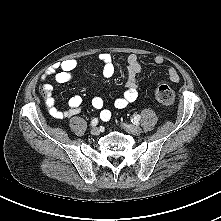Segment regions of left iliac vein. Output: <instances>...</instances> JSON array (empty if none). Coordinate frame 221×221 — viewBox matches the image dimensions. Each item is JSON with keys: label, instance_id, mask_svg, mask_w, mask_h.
<instances>
[{"label": "left iliac vein", "instance_id": "1", "mask_svg": "<svg viewBox=\"0 0 221 221\" xmlns=\"http://www.w3.org/2000/svg\"><path fill=\"white\" fill-rule=\"evenodd\" d=\"M122 127L125 131L132 135H140L142 133V129L139 126L131 125V124H123Z\"/></svg>", "mask_w": 221, "mask_h": 221}]
</instances>
